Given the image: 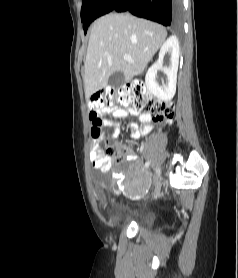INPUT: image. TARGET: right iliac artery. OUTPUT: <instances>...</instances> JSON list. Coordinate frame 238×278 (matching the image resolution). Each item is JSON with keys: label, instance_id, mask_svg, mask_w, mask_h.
<instances>
[{"label": "right iliac artery", "instance_id": "82829eb1", "mask_svg": "<svg viewBox=\"0 0 238 278\" xmlns=\"http://www.w3.org/2000/svg\"><path fill=\"white\" fill-rule=\"evenodd\" d=\"M149 165H150V161H147V162L145 163L144 167L147 168V167H149Z\"/></svg>", "mask_w": 238, "mask_h": 278}]
</instances>
